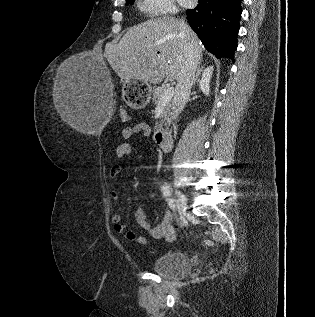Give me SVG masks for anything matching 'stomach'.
Returning <instances> with one entry per match:
<instances>
[{"instance_id": "stomach-1", "label": "stomach", "mask_w": 315, "mask_h": 317, "mask_svg": "<svg viewBox=\"0 0 315 317\" xmlns=\"http://www.w3.org/2000/svg\"><path fill=\"white\" fill-rule=\"evenodd\" d=\"M151 91V86L144 81L130 79L123 82V99L133 109L147 108V104H152Z\"/></svg>"}]
</instances>
